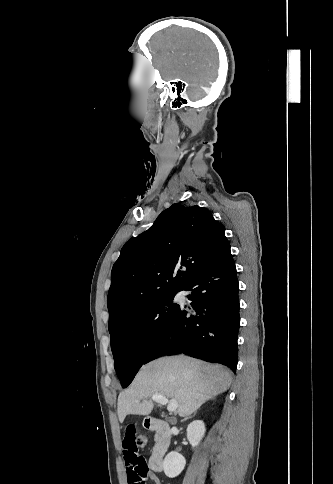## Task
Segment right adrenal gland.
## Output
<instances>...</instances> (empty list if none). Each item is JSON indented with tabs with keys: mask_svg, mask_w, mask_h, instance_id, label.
<instances>
[{
	"mask_svg": "<svg viewBox=\"0 0 333 484\" xmlns=\"http://www.w3.org/2000/svg\"><path fill=\"white\" fill-rule=\"evenodd\" d=\"M194 415H195V413H194ZM191 417H192V416H189V417H185V420H186V419H189V418H191Z\"/></svg>",
	"mask_w": 333,
	"mask_h": 484,
	"instance_id": "1",
	"label": "right adrenal gland"
}]
</instances>
